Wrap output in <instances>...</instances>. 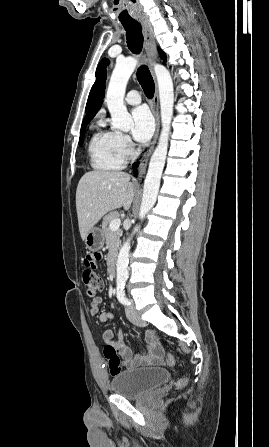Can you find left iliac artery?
Segmentation results:
<instances>
[{
	"mask_svg": "<svg viewBox=\"0 0 269 447\" xmlns=\"http://www.w3.org/2000/svg\"><path fill=\"white\" fill-rule=\"evenodd\" d=\"M124 287H125L124 282H121L117 285V298L121 304L130 305L131 303L125 295Z\"/></svg>",
	"mask_w": 269,
	"mask_h": 447,
	"instance_id": "1",
	"label": "left iliac artery"
}]
</instances>
